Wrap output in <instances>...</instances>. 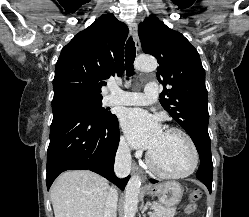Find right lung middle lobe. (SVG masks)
Returning <instances> with one entry per match:
<instances>
[{
  "label": "right lung middle lobe",
  "mask_w": 249,
  "mask_h": 217,
  "mask_svg": "<svg viewBox=\"0 0 249 217\" xmlns=\"http://www.w3.org/2000/svg\"><path fill=\"white\" fill-rule=\"evenodd\" d=\"M59 100H67L79 105L91 117L102 122H111L117 118L108 110L101 108L102 98L92 97L76 91H66L54 95L53 101Z\"/></svg>",
  "instance_id": "obj_1"
}]
</instances>
